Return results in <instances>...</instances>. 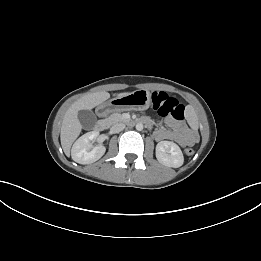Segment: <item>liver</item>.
Instances as JSON below:
<instances>
[{
	"label": "liver",
	"instance_id": "1",
	"mask_svg": "<svg viewBox=\"0 0 261 261\" xmlns=\"http://www.w3.org/2000/svg\"><path fill=\"white\" fill-rule=\"evenodd\" d=\"M128 93H119L116 96H123ZM110 98L106 91L89 93L75 101L66 111L61 125L60 140L64 153L69 156L73 142L79 136L82 125L78 119L80 110H91Z\"/></svg>",
	"mask_w": 261,
	"mask_h": 261
}]
</instances>
